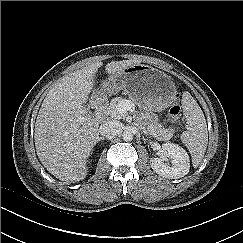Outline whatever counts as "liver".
<instances>
[{"label":"liver","mask_w":243,"mask_h":243,"mask_svg":"<svg viewBox=\"0 0 243 243\" xmlns=\"http://www.w3.org/2000/svg\"><path fill=\"white\" fill-rule=\"evenodd\" d=\"M139 60L112 61L105 66L109 75ZM102 62L64 76L49 90L39 110L34 140L38 158L47 171L65 182H78L87 175V159L99 138L97 120L85 103Z\"/></svg>","instance_id":"6515ba94"}]
</instances>
